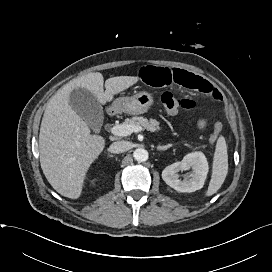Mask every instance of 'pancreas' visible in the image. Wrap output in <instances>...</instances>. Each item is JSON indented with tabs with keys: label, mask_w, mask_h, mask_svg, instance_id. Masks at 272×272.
Returning <instances> with one entry per match:
<instances>
[{
	"label": "pancreas",
	"mask_w": 272,
	"mask_h": 272,
	"mask_svg": "<svg viewBox=\"0 0 272 272\" xmlns=\"http://www.w3.org/2000/svg\"><path fill=\"white\" fill-rule=\"evenodd\" d=\"M124 124L134 125V126H142L151 132H158L162 128L159 126L160 123L155 119H147L140 116H134L131 119H126Z\"/></svg>",
	"instance_id": "1"
}]
</instances>
